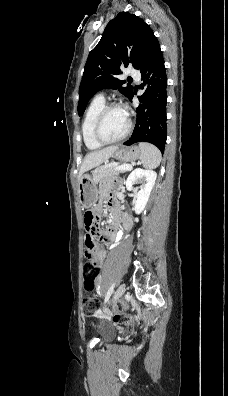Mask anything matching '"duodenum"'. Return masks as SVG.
Returning <instances> with one entry per match:
<instances>
[{
	"mask_svg": "<svg viewBox=\"0 0 228 396\" xmlns=\"http://www.w3.org/2000/svg\"><path fill=\"white\" fill-rule=\"evenodd\" d=\"M115 224H116L117 227L122 226L124 229H126L127 225H128V222H127V219L125 217H122Z\"/></svg>",
	"mask_w": 228,
	"mask_h": 396,
	"instance_id": "410a0bca",
	"label": "duodenum"
}]
</instances>
